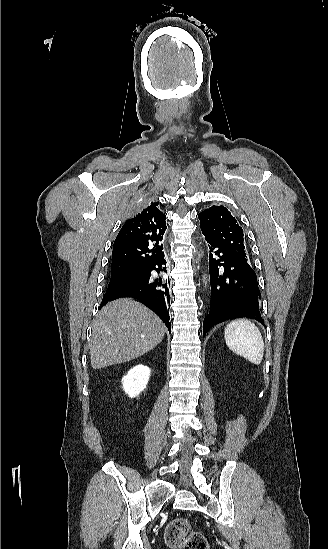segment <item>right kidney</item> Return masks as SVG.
I'll list each match as a JSON object with an SVG mask.
<instances>
[{
	"instance_id": "ca27d5eb",
	"label": "right kidney",
	"mask_w": 328,
	"mask_h": 549,
	"mask_svg": "<svg viewBox=\"0 0 328 549\" xmlns=\"http://www.w3.org/2000/svg\"><path fill=\"white\" fill-rule=\"evenodd\" d=\"M150 369L144 365H136L128 371L127 375L122 379V385L125 393L129 397H137L141 391L146 389L149 381Z\"/></svg>"
}]
</instances>
